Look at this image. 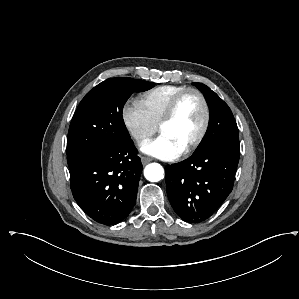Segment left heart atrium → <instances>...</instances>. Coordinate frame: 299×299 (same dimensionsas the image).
I'll return each instance as SVG.
<instances>
[{
  "label": "left heart atrium",
  "instance_id": "left-heart-atrium-1",
  "mask_svg": "<svg viewBox=\"0 0 299 299\" xmlns=\"http://www.w3.org/2000/svg\"><path fill=\"white\" fill-rule=\"evenodd\" d=\"M142 152L161 159L171 160L179 157L183 149L175 145L170 139L164 135L147 141L141 146Z\"/></svg>",
  "mask_w": 299,
  "mask_h": 299
}]
</instances>
